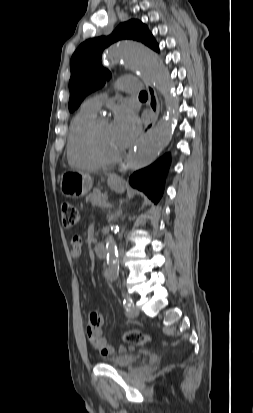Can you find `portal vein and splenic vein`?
Masks as SVG:
<instances>
[{
  "label": "portal vein and splenic vein",
  "instance_id": "obj_1",
  "mask_svg": "<svg viewBox=\"0 0 253 413\" xmlns=\"http://www.w3.org/2000/svg\"><path fill=\"white\" fill-rule=\"evenodd\" d=\"M99 206H104V207H111V204H109L108 202H104V203H102V204H100Z\"/></svg>",
  "mask_w": 253,
  "mask_h": 413
}]
</instances>
